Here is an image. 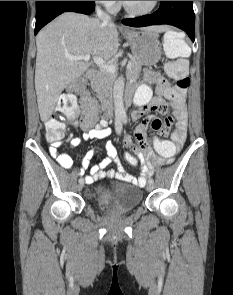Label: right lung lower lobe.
<instances>
[{"label": "right lung lower lobe", "instance_id": "1", "mask_svg": "<svg viewBox=\"0 0 233 295\" xmlns=\"http://www.w3.org/2000/svg\"><path fill=\"white\" fill-rule=\"evenodd\" d=\"M94 8V1H36L35 35L43 26L63 12L73 11L89 15Z\"/></svg>", "mask_w": 233, "mask_h": 295}]
</instances>
